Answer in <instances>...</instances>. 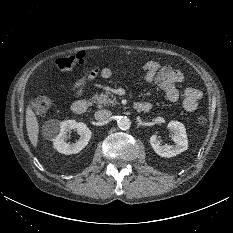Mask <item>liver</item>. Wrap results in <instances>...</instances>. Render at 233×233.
Here are the masks:
<instances>
[{"label": "liver", "mask_w": 233, "mask_h": 233, "mask_svg": "<svg viewBox=\"0 0 233 233\" xmlns=\"http://www.w3.org/2000/svg\"><path fill=\"white\" fill-rule=\"evenodd\" d=\"M26 129L31 144L36 147L38 143L39 124L35 113L29 105L26 109Z\"/></svg>", "instance_id": "1"}]
</instances>
